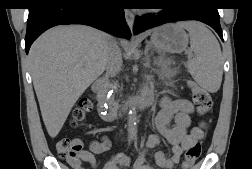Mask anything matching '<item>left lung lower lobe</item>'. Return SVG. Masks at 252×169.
Here are the masks:
<instances>
[{
    "label": "left lung lower lobe",
    "mask_w": 252,
    "mask_h": 169,
    "mask_svg": "<svg viewBox=\"0 0 252 169\" xmlns=\"http://www.w3.org/2000/svg\"><path fill=\"white\" fill-rule=\"evenodd\" d=\"M164 12L158 15L137 17L134 34L150 28L181 20H196L211 26L223 40L220 17L215 0H170Z\"/></svg>",
    "instance_id": "left-lung-lower-lobe-1"
}]
</instances>
